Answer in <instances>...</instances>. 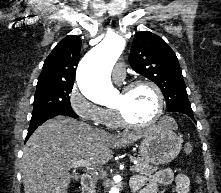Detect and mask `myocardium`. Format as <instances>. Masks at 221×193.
<instances>
[{
    "label": "myocardium",
    "instance_id": "obj_1",
    "mask_svg": "<svg viewBox=\"0 0 221 193\" xmlns=\"http://www.w3.org/2000/svg\"><path fill=\"white\" fill-rule=\"evenodd\" d=\"M142 85L149 86L154 91V94L157 99L156 112H155L154 116L149 121L144 122V123H137V122L130 121L127 118V116L125 115L124 111L120 107H114V111L116 113L118 121L124 127L135 128V129L147 128V127H150V126L156 124L163 115L164 104H165L164 95H163V92L160 89V87L152 80H149V79L134 80V81L126 84L124 86V88L122 89V92H128V91L134 89L135 87L142 86Z\"/></svg>",
    "mask_w": 221,
    "mask_h": 193
}]
</instances>
